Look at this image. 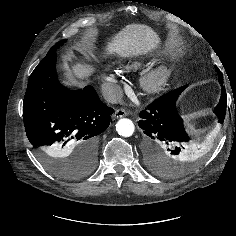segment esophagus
<instances>
[{
  "instance_id": "1",
  "label": "esophagus",
  "mask_w": 236,
  "mask_h": 236,
  "mask_svg": "<svg viewBox=\"0 0 236 236\" xmlns=\"http://www.w3.org/2000/svg\"><path fill=\"white\" fill-rule=\"evenodd\" d=\"M127 115V112L124 109H117L114 113L115 118H122Z\"/></svg>"
}]
</instances>
